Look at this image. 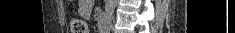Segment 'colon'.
<instances>
[{"label": "colon", "instance_id": "colon-1", "mask_svg": "<svg viewBox=\"0 0 235 33\" xmlns=\"http://www.w3.org/2000/svg\"><path fill=\"white\" fill-rule=\"evenodd\" d=\"M72 33H89L87 23L82 19H74L71 22Z\"/></svg>", "mask_w": 235, "mask_h": 33}]
</instances>
